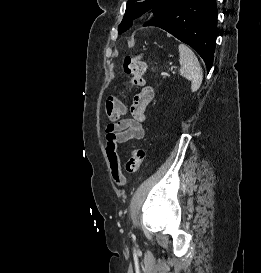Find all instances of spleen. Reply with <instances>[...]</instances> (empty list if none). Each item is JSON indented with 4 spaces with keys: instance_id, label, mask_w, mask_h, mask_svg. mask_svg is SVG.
<instances>
[{
    "instance_id": "spleen-1",
    "label": "spleen",
    "mask_w": 261,
    "mask_h": 273,
    "mask_svg": "<svg viewBox=\"0 0 261 273\" xmlns=\"http://www.w3.org/2000/svg\"><path fill=\"white\" fill-rule=\"evenodd\" d=\"M180 53V73L183 77L191 81V91H197L203 80V72L200 63L194 52L185 44L179 45Z\"/></svg>"
}]
</instances>
